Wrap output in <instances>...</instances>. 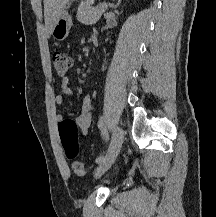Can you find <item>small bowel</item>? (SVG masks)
Listing matches in <instances>:
<instances>
[{
    "label": "small bowel",
    "mask_w": 216,
    "mask_h": 217,
    "mask_svg": "<svg viewBox=\"0 0 216 217\" xmlns=\"http://www.w3.org/2000/svg\"><path fill=\"white\" fill-rule=\"evenodd\" d=\"M72 93L73 91L70 87L69 79L64 78L62 81V85L60 87V91L54 98V103L56 105H62L64 102V98L66 96L71 95ZM91 106H92V96L87 95L82 101L81 113L75 120L78 129L83 135H86L88 133L91 122H92V118L90 114ZM63 120L64 118L61 114L55 115V121L59 126L61 125Z\"/></svg>",
    "instance_id": "small-bowel-1"
}]
</instances>
